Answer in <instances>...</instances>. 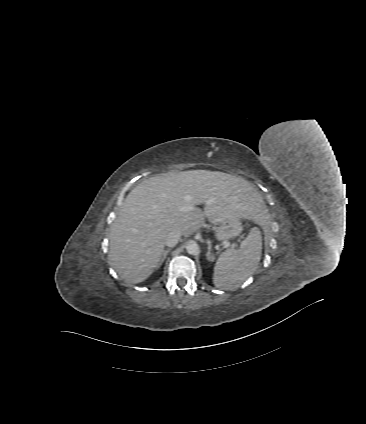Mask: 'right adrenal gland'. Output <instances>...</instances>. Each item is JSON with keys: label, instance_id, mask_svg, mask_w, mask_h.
I'll list each match as a JSON object with an SVG mask.
<instances>
[{"label": "right adrenal gland", "instance_id": "2a0ac1e0", "mask_svg": "<svg viewBox=\"0 0 366 424\" xmlns=\"http://www.w3.org/2000/svg\"><path fill=\"white\" fill-rule=\"evenodd\" d=\"M171 250H172L171 248L164 250L163 255H162L161 259H160V262L157 265V268H159L162 265V263L164 262V260L166 259L167 255H168V253Z\"/></svg>", "mask_w": 366, "mask_h": 424}]
</instances>
